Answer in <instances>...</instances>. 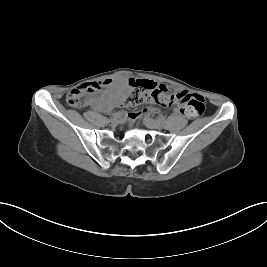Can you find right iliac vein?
I'll use <instances>...</instances> for the list:
<instances>
[{
	"label": "right iliac vein",
	"mask_w": 267,
	"mask_h": 267,
	"mask_svg": "<svg viewBox=\"0 0 267 267\" xmlns=\"http://www.w3.org/2000/svg\"><path fill=\"white\" fill-rule=\"evenodd\" d=\"M119 122V118H114V119H111V123L112 124H117Z\"/></svg>",
	"instance_id": "right-iliac-vein-1"
}]
</instances>
